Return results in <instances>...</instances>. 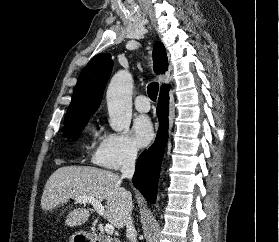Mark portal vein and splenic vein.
<instances>
[{
    "label": "portal vein and splenic vein",
    "instance_id": "1",
    "mask_svg": "<svg viewBox=\"0 0 279 242\" xmlns=\"http://www.w3.org/2000/svg\"><path fill=\"white\" fill-rule=\"evenodd\" d=\"M75 200L78 203H90L99 214L104 215V207L102 206L101 201L89 196H79L75 198ZM105 232L107 235H113L114 226L107 223L105 225Z\"/></svg>",
    "mask_w": 279,
    "mask_h": 242
}]
</instances>
